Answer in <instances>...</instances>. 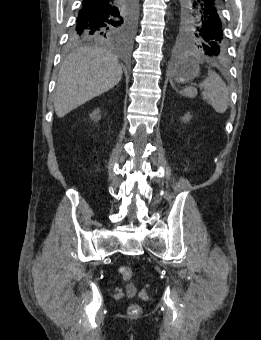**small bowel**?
Listing matches in <instances>:
<instances>
[{
  "mask_svg": "<svg viewBox=\"0 0 261 340\" xmlns=\"http://www.w3.org/2000/svg\"><path fill=\"white\" fill-rule=\"evenodd\" d=\"M127 293H128L129 295H133V294L135 293V288L132 287V286H129V287L127 288Z\"/></svg>",
  "mask_w": 261,
  "mask_h": 340,
  "instance_id": "small-bowel-1",
  "label": "small bowel"
}]
</instances>
